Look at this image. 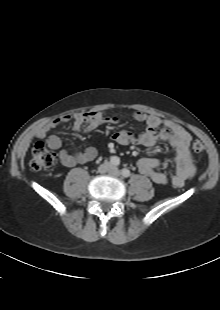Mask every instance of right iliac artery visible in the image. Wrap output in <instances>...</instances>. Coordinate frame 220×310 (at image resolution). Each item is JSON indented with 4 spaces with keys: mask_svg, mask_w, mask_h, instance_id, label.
Returning a JSON list of instances; mask_svg holds the SVG:
<instances>
[{
    "mask_svg": "<svg viewBox=\"0 0 220 310\" xmlns=\"http://www.w3.org/2000/svg\"><path fill=\"white\" fill-rule=\"evenodd\" d=\"M110 163L114 166H118L120 164V160L117 156H113L110 159Z\"/></svg>",
    "mask_w": 220,
    "mask_h": 310,
    "instance_id": "82829eb1",
    "label": "right iliac artery"
}]
</instances>
